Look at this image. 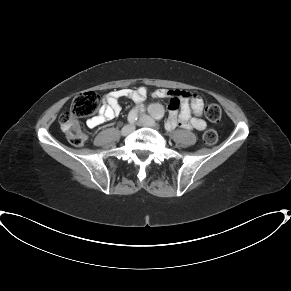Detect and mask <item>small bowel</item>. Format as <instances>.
Instances as JSON below:
<instances>
[{
  "label": "small bowel",
  "instance_id": "obj_1",
  "mask_svg": "<svg viewBox=\"0 0 291 291\" xmlns=\"http://www.w3.org/2000/svg\"><path fill=\"white\" fill-rule=\"evenodd\" d=\"M146 96L147 90L144 87L136 90L118 89L108 92L103 97V104L99 112L87 120V127L94 129L114 119L120 112L118 101L121 98H131L136 104V110L143 111ZM153 97L169 100V115L165 124L167 130H173L177 126L198 131H203L206 128L205 120L200 118L203 100L197 93L157 89L153 92Z\"/></svg>",
  "mask_w": 291,
  "mask_h": 291
}]
</instances>
